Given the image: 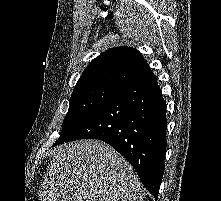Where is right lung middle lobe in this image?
Here are the masks:
<instances>
[{
  "label": "right lung middle lobe",
  "mask_w": 221,
  "mask_h": 201,
  "mask_svg": "<svg viewBox=\"0 0 221 201\" xmlns=\"http://www.w3.org/2000/svg\"><path fill=\"white\" fill-rule=\"evenodd\" d=\"M119 89L111 87H88L74 90L70 99L60 138L53 146L66 141L89 117L106 103Z\"/></svg>",
  "instance_id": "obj_1"
}]
</instances>
